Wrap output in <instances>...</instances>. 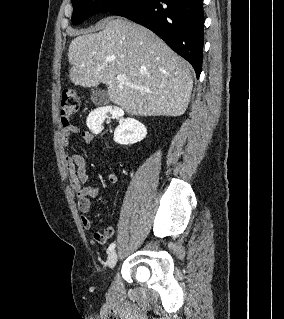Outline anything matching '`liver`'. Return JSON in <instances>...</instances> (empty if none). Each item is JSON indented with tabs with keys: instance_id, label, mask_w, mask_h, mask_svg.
Here are the masks:
<instances>
[{
	"instance_id": "1",
	"label": "liver",
	"mask_w": 284,
	"mask_h": 319,
	"mask_svg": "<svg viewBox=\"0 0 284 319\" xmlns=\"http://www.w3.org/2000/svg\"><path fill=\"white\" fill-rule=\"evenodd\" d=\"M68 60L73 84H105L109 99L132 115L180 116L188 107L190 65L152 31L126 19L111 18L98 33L78 35ZM118 75L141 89L119 83Z\"/></svg>"
}]
</instances>
